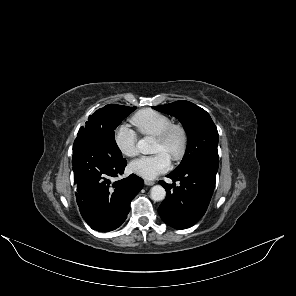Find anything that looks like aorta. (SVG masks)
I'll list each match as a JSON object with an SVG mask.
<instances>
[{"instance_id":"762f6f07","label":"aorta","mask_w":296,"mask_h":296,"mask_svg":"<svg viewBox=\"0 0 296 296\" xmlns=\"http://www.w3.org/2000/svg\"><path fill=\"white\" fill-rule=\"evenodd\" d=\"M152 143L153 140L149 137H146L138 141L137 148L144 153H149ZM165 196L166 191L161 185H155L150 190V197L154 201H162L165 199Z\"/></svg>"}]
</instances>
